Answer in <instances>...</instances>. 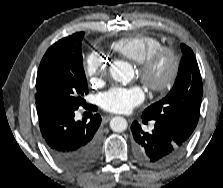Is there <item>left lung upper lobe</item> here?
<instances>
[{
	"label": "left lung upper lobe",
	"instance_id": "5c2ea615",
	"mask_svg": "<svg viewBox=\"0 0 223 188\" xmlns=\"http://www.w3.org/2000/svg\"><path fill=\"white\" fill-rule=\"evenodd\" d=\"M181 50L183 57L172 90L145 109L142 118L164 124L188 140L198 123L203 88L193 51L185 44Z\"/></svg>",
	"mask_w": 223,
	"mask_h": 188
}]
</instances>
